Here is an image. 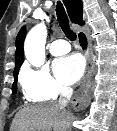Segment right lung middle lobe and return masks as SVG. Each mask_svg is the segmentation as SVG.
Here are the masks:
<instances>
[{
  "label": "right lung middle lobe",
  "mask_w": 117,
  "mask_h": 131,
  "mask_svg": "<svg viewBox=\"0 0 117 131\" xmlns=\"http://www.w3.org/2000/svg\"><path fill=\"white\" fill-rule=\"evenodd\" d=\"M17 76L18 75L14 76V83L12 85V94L13 95L16 94V92H17V90H16Z\"/></svg>",
  "instance_id": "obj_1"
}]
</instances>
